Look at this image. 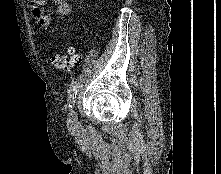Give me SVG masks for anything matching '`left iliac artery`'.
<instances>
[{
	"mask_svg": "<svg viewBox=\"0 0 221 174\" xmlns=\"http://www.w3.org/2000/svg\"><path fill=\"white\" fill-rule=\"evenodd\" d=\"M76 95H77V79L73 78L70 87L68 89V107L69 109L74 106L76 101Z\"/></svg>",
	"mask_w": 221,
	"mask_h": 174,
	"instance_id": "1",
	"label": "left iliac artery"
}]
</instances>
